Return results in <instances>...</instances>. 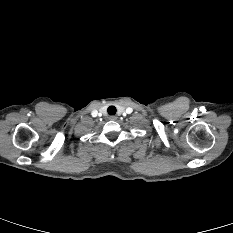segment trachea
<instances>
[{"label":"trachea","mask_w":233,"mask_h":233,"mask_svg":"<svg viewBox=\"0 0 233 233\" xmlns=\"http://www.w3.org/2000/svg\"><path fill=\"white\" fill-rule=\"evenodd\" d=\"M107 111H108L109 115H115L116 114V107L115 106H109Z\"/></svg>","instance_id":"1"}]
</instances>
